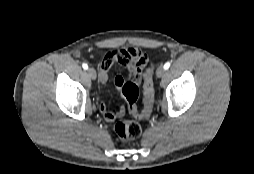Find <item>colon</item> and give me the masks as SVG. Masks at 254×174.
Returning <instances> with one entry per match:
<instances>
[{
  "label": "colon",
  "instance_id": "colon-1",
  "mask_svg": "<svg viewBox=\"0 0 254 174\" xmlns=\"http://www.w3.org/2000/svg\"><path fill=\"white\" fill-rule=\"evenodd\" d=\"M122 97L127 102L129 112L136 118H148L152 112L154 102V88L152 75L150 71L144 76V99L143 109L141 111L137 108V99L139 96V89L137 82L129 81L122 85L120 89ZM123 110L120 111V114ZM114 131L122 141H130L138 138L141 134L140 125L132 120L126 118H119L115 125Z\"/></svg>",
  "mask_w": 254,
  "mask_h": 174
}]
</instances>
